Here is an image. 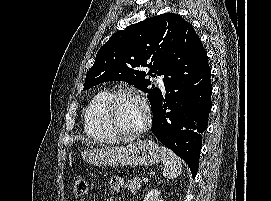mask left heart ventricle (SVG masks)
<instances>
[{"label": "left heart ventricle", "instance_id": "b2bd125f", "mask_svg": "<svg viewBox=\"0 0 271 201\" xmlns=\"http://www.w3.org/2000/svg\"><path fill=\"white\" fill-rule=\"evenodd\" d=\"M114 115L118 125L129 131L140 128L145 121L144 107L133 97L120 98L116 103Z\"/></svg>", "mask_w": 271, "mask_h": 201}]
</instances>
